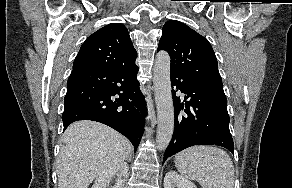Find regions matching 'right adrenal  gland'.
<instances>
[{
  "label": "right adrenal gland",
  "mask_w": 292,
  "mask_h": 188,
  "mask_svg": "<svg viewBox=\"0 0 292 188\" xmlns=\"http://www.w3.org/2000/svg\"><path fill=\"white\" fill-rule=\"evenodd\" d=\"M128 161H131V155L127 158Z\"/></svg>",
  "instance_id": "right-adrenal-gland-1"
}]
</instances>
